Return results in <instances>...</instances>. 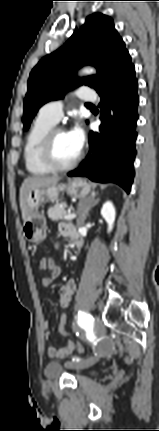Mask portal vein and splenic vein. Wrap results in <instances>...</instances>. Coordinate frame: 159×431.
<instances>
[{
	"instance_id": "18ae733b",
	"label": "portal vein and splenic vein",
	"mask_w": 159,
	"mask_h": 431,
	"mask_svg": "<svg viewBox=\"0 0 159 431\" xmlns=\"http://www.w3.org/2000/svg\"><path fill=\"white\" fill-rule=\"evenodd\" d=\"M76 217V214L75 213H71V212H69L68 214H66L65 216H64V219L65 220H72V219H74Z\"/></svg>"
}]
</instances>
